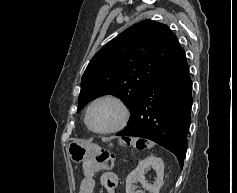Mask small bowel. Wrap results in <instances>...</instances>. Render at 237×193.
<instances>
[{
    "instance_id": "obj_1",
    "label": "small bowel",
    "mask_w": 237,
    "mask_h": 193,
    "mask_svg": "<svg viewBox=\"0 0 237 193\" xmlns=\"http://www.w3.org/2000/svg\"><path fill=\"white\" fill-rule=\"evenodd\" d=\"M90 164H94V159H90L86 162L87 173L80 183L78 193H94L95 180L92 174L94 169L89 168ZM102 182L107 193H116V188H117L116 174L112 172H103Z\"/></svg>"
}]
</instances>
